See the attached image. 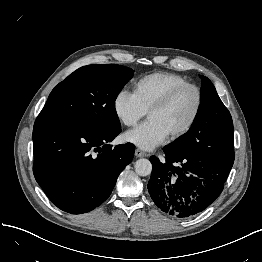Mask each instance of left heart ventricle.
Instances as JSON below:
<instances>
[{
  "label": "left heart ventricle",
  "instance_id": "obj_1",
  "mask_svg": "<svg viewBox=\"0 0 262 262\" xmlns=\"http://www.w3.org/2000/svg\"><path fill=\"white\" fill-rule=\"evenodd\" d=\"M195 102L193 91L186 90L164 109L151 112L148 119L156 121L169 136L186 125L194 111Z\"/></svg>",
  "mask_w": 262,
  "mask_h": 262
}]
</instances>
